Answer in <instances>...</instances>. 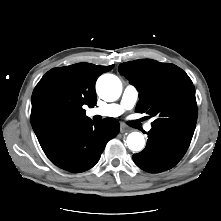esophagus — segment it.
<instances>
[{
  "label": "esophagus",
  "mask_w": 221,
  "mask_h": 221,
  "mask_svg": "<svg viewBox=\"0 0 221 221\" xmlns=\"http://www.w3.org/2000/svg\"><path fill=\"white\" fill-rule=\"evenodd\" d=\"M129 131H130L129 127H127V126H125L123 124L120 126V132L121 133L129 132Z\"/></svg>",
  "instance_id": "34e87169"
}]
</instances>
